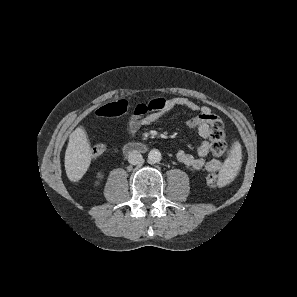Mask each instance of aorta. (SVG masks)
Returning a JSON list of instances; mask_svg holds the SVG:
<instances>
[{
  "label": "aorta",
  "instance_id": "aorta-1",
  "mask_svg": "<svg viewBox=\"0 0 297 297\" xmlns=\"http://www.w3.org/2000/svg\"><path fill=\"white\" fill-rule=\"evenodd\" d=\"M162 159L161 153L157 149H153L148 153V160L151 163H158Z\"/></svg>",
  "mask_w": 297,
  "mask_h": 297
}]
</instances>
